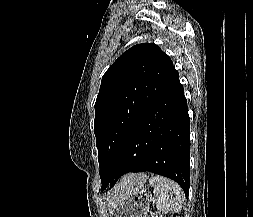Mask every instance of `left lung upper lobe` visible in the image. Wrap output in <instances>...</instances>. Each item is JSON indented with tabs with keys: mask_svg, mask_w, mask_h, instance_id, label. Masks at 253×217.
Wrapping results in <instances>:
<instances>
[{
	"mask_svg": "<svg viewBox=\"0 0 253 217\" xmlns=\"http://www.w3.org/2000/svg\"><path fill=\"white\" fill-rule=\"evenodd\" d=\"M178 79L169 56L152 43L131 47L103 75L94 127L101 190L111 177L119 146L132 123Z\"/></svg>",
	"mask_w": 253,
	"mask_h": 217,
	"instance_id": "5c2ea615",
	"label": "left lung upper lobe"
}]
</instances>
